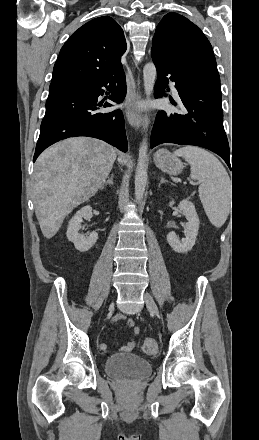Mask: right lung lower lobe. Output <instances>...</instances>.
<instances>
[{"label":"right lung lower lobe","instance_id":"98d812e1","mask_svg":"<svg viewBox=\"0 0 259 440\" xmlns=\"http://www.w3.org/2000/svg\"><path fill=\"white\" fill-rule=\"evenodd\" d=\"M115 83L118 84L116 88ZM104 86L108 90L113 89L109 99L121 103L126 94L123 68L102 80L49 89L46 113L41 123L33 162L50 145L75 136L98 138L123 152L127 151L122 112H98L103 103H98L97 99L99 95H103ZM109 106V103L103 105Z\"/></svg>","mask_w":259,"mask_h":440}]
</instances>
